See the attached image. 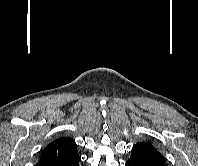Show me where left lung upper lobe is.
Masks as SVG:
<instances>
[{"label": "left lung upper lobe", "instance_id": "1", "mask_svg": "<svg viewBox=\"0 0 198 166\" xmlns=\"http://www.w3.org/2000/svg\"><path fill=\"white\" fill-rule=\"evenodd\" d=\"M131 156L149 164L166 166L164 156L149 141L137 142L132 147Z\"/></svg>", "mask_w": 198, "mask_h": 166}]
</instances>
